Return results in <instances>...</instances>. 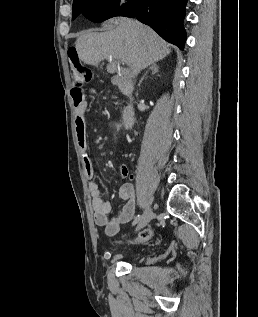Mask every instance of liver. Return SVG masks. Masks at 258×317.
<instances>
[{
  "mask_svg": "<svg viewBox=\"0 0 258 317\" xmlns=\"http://www.w3.org/2000/svg\"><path fill=\"white\" fill-rule=\"evenodd\" d=\"M114 24L115 28L106 32L86 30L78 36L75 44L80 60L86 64H98L103 58H120L137 74L152 62H157L171 52L169 46L155 30L134 18L117 16L109 18L104 26ZM108 72H116V62H109ZM113 80L118 82L117 76Z\"/></svg>",
  "mask_w": 258,
  "mask_h": 317,
  "instance_id": "6515ba94",
  "label": "liver"
}]
</instances>
